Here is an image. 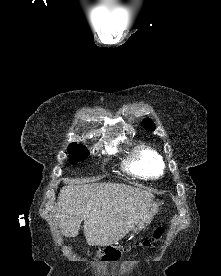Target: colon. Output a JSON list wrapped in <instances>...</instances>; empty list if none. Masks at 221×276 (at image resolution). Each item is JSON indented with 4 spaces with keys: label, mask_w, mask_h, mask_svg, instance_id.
I'll use <instances>...</instances> for the list:
<instances>
[{
    "label": "colon",
    "mask_w": 221,
    "mask_h": 276,
    "mask_svg": "<svg viewBox=\"0 0 221 276\" xmlns=\"http://www.w3.org/2000/svg\"><path fill=\"white\" fill-rule=\"evenodd\" d=\"M163 232V227H157L153 236L143 242H131L130 244H121V246L101 245L98 257L101 261H117L121 257V251H130L132 247L152 246L162 238Z\"/></svg>",
    "instance_id": "1"
}]
</instances>
